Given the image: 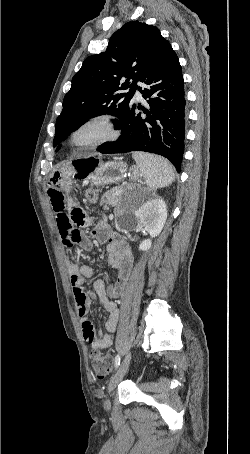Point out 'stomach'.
I'll return each instance as SVG.
<instances>
[{"mask_svg":"<svg viewBox=\"0 0 250 454\" xmlns=\"http://www.w3.org/2000/svg\"><path fill=\"white\" fill-rule=\"evenodd\" d=\"M126 170V164L122 161L103 162L99 158L92 157L80 159L74 167V174L77 178L84 179L93 185H104L119 182ZM131 177L133 180H137L141 177V173L134 169Z\"/></svg>","mask_w":250,"mask_h":454,"instance_id":"1","label":"stomach"}]
</instances>
